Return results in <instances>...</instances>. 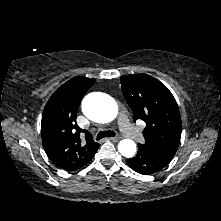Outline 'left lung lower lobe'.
<instances>
[{"mask_svg": "<svg viewBox=\"0 0 221 221\" xmlns=\"http://www.w3.org/2000/svg\"><path fill=\"white\" fill-rule=\"evenodd\" d=\"M171 159L160 156L157 153L139 147L136 157L128 159V165L136 172L144 175L160 171L170 163Z\"/></svg>", "mask_w": 221, "mask_h": 221, "instance_id": "0a47b994", "label": "left lung lower lobe"}]
</instances>
